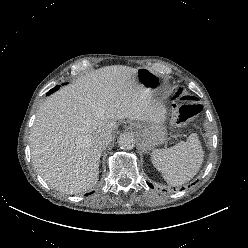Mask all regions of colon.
Here are the masks:
<instances>
[{"label": "colon", "instance_id": "obj_1", "mask_svg": "<svg viewBox=\"0 0 248 248\" xmlns=\"http://www.w3.org/2000/svg\"><path fill=\"white\" fill-rule=\"evenodd\" d=\"M181 91H177L176 95L180 96ZM200 111V108L196 104L183 105L180 108V120L182 122L191 121Z\"/></svg>", "mask_w": 248, "mask_h": 248}]
</instances>
